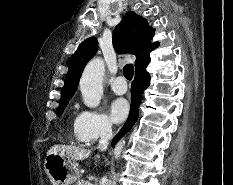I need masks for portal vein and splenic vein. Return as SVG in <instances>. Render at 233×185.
I'll use <instances>...</instances> for the list:
<instances>
[{
  "mask_svg": "<svg viewBox=\"0 0 233 185\" xmlns=\"http://www.w3.org/2000/svg\"><path fill=\"white\" fill-rule=\"evenodd\" d=\"M87 185H93L92 183L88 182Z\"/></svg>",
  "mask_w": 233,
  "mask_h": 185,
  "instance_id": "portal-vein-and-splenic-vein-1",
  "label": "portal vein and splenic vein"
}]
</instances>
